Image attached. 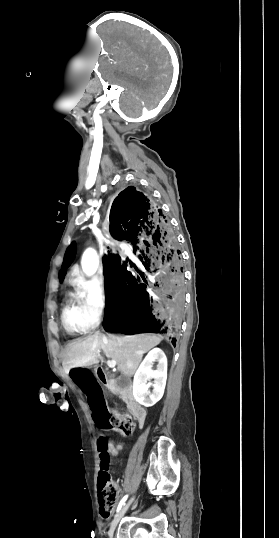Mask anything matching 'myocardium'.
Wrapping results in <instances>:
<instances>
[{
  "label": "myocardium",
  "instance_id": "obj_1",
  "mask_svg": "<svg viewBox=\"0 0 279 538\" xmlns=\"http://www.w3.org/2000/svg\"><path fill=\"white\" fill-rule=\"evenodd\" d=\"M98 224V218H96L94 224L90 225L91 228H95ZM129 240H132L131 238Z\"/></svg>",
  "mask_w": 279,
  "mask_h": 538
}]
</instances>
